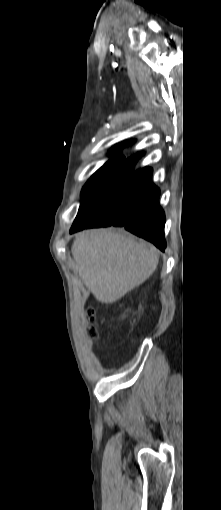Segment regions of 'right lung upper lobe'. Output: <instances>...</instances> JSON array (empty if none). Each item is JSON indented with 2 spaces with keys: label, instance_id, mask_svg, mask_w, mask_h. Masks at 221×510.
Returning <instances> with one entry per match:
<instances>
[{
  "label": "right lung upper lobe",
  "instance_id": "cb5924a9",
  "mask_svg": "<svg viewBox=\"0 0 221 510\" xmlns=\"http://www.w3.org/2000/svg\"><path fill=\"white\" fill-rule=\"evenodd\" d=\"M134 141L133 140H129V141H126L124 142L123 144H118V145H115L110 153L113 154V155H116V154H120L123 146H128V145H131Z\"/></svg>",
  "mask_w": 221,
  "mask_h": 510
}]
</instances>
